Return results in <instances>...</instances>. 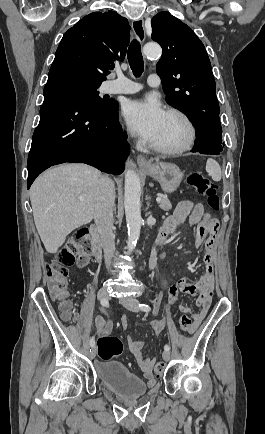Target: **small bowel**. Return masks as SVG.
<instances>
[{"instance_id":"1","label":"small bowel","mask_w":265,"mask_h":434,"mask_svg":"<svg viewBox=\"0 0 265 434\" xmlns=\"http://www.w3.org/2000/svg\"><path fill=\"white\" fill-rule=\"evenodd\" d=\"M188 221L191 225H197L196 245H200L206 238V251L203 254L202 260L204 263V270L197 282H190L183 278L170 285L168 289L166 309H170L178 300L181 294L197 296L196 305L199 311L194 312L187 305L177 306V310L183 314H187L192 320V326L188 330V333H194L204 318L206 317L210 305L211 296L214 287V269H213V246L218 230L219 223L214 219L211 214L204 210L202 204H194L191 201L180 202L173 214L170 215L164 222L159 241L163 242L169 235L173 234L181 225ZM211 227L213 231L207 236L204 231ZM121 319L122 328L126 330L128 316L126 313ZM77 320L81 324H85V319L77 317ZM96 327L100 335H104L107 332L105 319L102 316L96 318ZM165 325L164 317L155 320L152 323V329L156 335H159ZM127 344L131 352L136 356L138 363L140 364L144 377L147 380L149 386L155 384V377L152 373V367L155 363L153 358H145L142 354L144 342L136 340L131 336L127 337Z\"/></svg>"}]
</instances>
